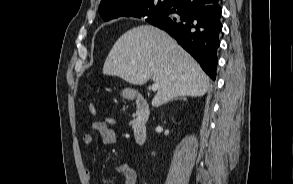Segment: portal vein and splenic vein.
I'll return each instance as SVG.
<instances>
[{
	"label": "portal vein and splenic vein",
	"instance_id": "portal-vein-and-splenic-vein-1",
	"mask_svg": "<svg viewBox=\"0 0 293 184\" xmlns=\"http://www.w3.org/2000/svg\"><path fill=\"white\" fill-rule=\"evenodd\" d=\"M158 88H159V85H158L157 83H154V84H152V86H151V90H152L153 92L157 91Z\"/></svg>",
	"mask_w": 293,
	"mask_h": 184
}]
</instances>
